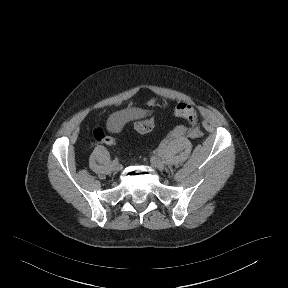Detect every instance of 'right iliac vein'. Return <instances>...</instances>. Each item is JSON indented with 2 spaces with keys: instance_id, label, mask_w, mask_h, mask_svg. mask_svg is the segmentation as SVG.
I'll return each mask as SVG.
<instances>
[{
  "instance_id": "obj_1",
  "label": "right iliac vein",
  "mask_w": 288,
  "mask_h": 288,
  "mask_svg": "<svg viewBox=\"0 0 288 288\" xmlns=\"http://www.w3.org/2000/svg\"><path fill=\"white\" fill-rule=\"evenodd\" d=\"M112 167L114 171H120L122 169V166L119 164V162H113Z\"/></svg>"
}]
</instances>
